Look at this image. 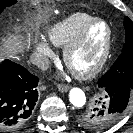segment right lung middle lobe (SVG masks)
I'll return each mask as SVG.
<instances>
[{
	"mask_svg": "<svg viewBox=\"0 0 133 133\" xmlns=\"http://www.w3.org/2000/svg\"><path fill=\"white\" fill-rule=\"evenodd\" d=\"M15 3H16L15 0H0V13L2 12L3 9Z\"/></svg>",
	"mask_w": 133,
	"mask_h": 133,
	"instance_id": "dd1d6c3e",
	"label": "right lung middle lobe"
}]
</instances>
